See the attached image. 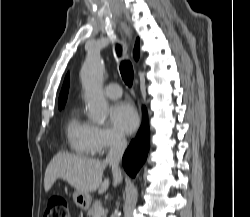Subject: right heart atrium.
Returning a JSON list of instances; mask_svg holds the SVG:
<instances>
[{
	"instance_id": "1",
	"label": "right heart atrium",
	"mask_w": 250,
	"mask_h": 217,
	"mask_svg": "<svg viewBox=\"0 0 250 217\" xmlns=\"http://www.w3.org/2000/svg\"><path fill=\"white\" fill-rule=\"evenodd\" d=\"M91 143L94 154L102 155L109 150L122 147L125 138L112 128L93 126Z\"/></svg>"
}]
</instances>
